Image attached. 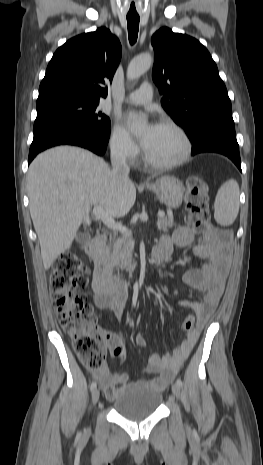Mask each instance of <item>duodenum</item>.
<instances>
[{"label": "duodenum", "instance_id": "obj_1", "mask_svg": "<svg viewBox=\"0 0 263 465\" xmlns=\"http://www.w3.org/2000/svg\"><path fill=\"white\" fill-rule=\"evenodd\" d=\"M106 243L107 236L101 234L85 245V252L94 265L93 279L95 288L102 293H110L118 289L123 281L121 277L114 276L111 273L107 259ZM168 257L169 255L167 253L160 257H156V264H163Z\"/></svg>", "mask_w": 263, "mask_h": 465}]
</instances>
